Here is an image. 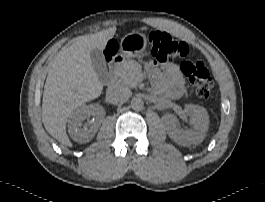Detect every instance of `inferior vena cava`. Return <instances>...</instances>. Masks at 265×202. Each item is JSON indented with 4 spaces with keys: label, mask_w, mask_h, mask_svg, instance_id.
Listing matches in <instances>:
<instances>
[{
    "label": "inferior vena cava",
    "mask_w": 265,
    "mask_h": 202,
    "mask_svg": "<svg viewBox=\"0 0 265 202\" xmlns=\"http://www.w3.org/2000/svg\"><path fill=\"white\" fill-rule=\"evenodd\" d=\"M131 94V90L121 84H114L107 89V97L115 103L126 102Z\"/></svg>",
    "instance_id": "1"
}]
</instances>
